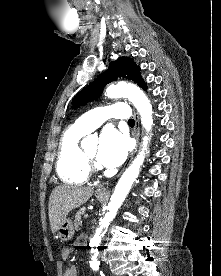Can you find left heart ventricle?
Returning a JSON list of instances; mask_svg holds the SVG:
<instances>
[{"label":"left heart ventricle","mask_w":221,"mask_h":276,"mask_svg":"<svg viewBox=\"0 0 221 276\" xmlns=\"http://www.w3.org/2000/svg\"><path fill=\"white\" fill-rule=\"evenodd\" d=\"M97 152H98V148H97L96 145L92 146L91 148H89V149L86 151V153H87L88 155L92 156V157H95L96 154H97Z\"/></svg>","instance_id":"obj_1"}]
</instances>
